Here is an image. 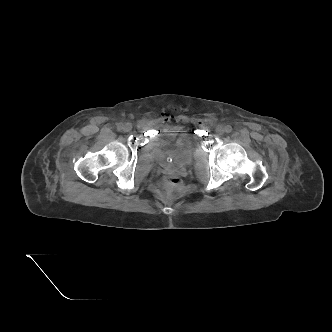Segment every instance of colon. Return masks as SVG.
I'll return each instance as SVG.
<instances>
[{"label": "colon", "instance_id": "5ec220e1", "mask_svg": "<svg viewBox=\"0 0 332 332\" xmlns=\"http://www.w3.org/2000/svg\"><path fill=\"white\" fill-rule=\"evenodd\" d=\"M162 189L169 195L179 193L183 188V181L181 178L167 175L161 181Z\"/></svg>", "mask_w": 332, "mask_h": 332}]
</instances>
